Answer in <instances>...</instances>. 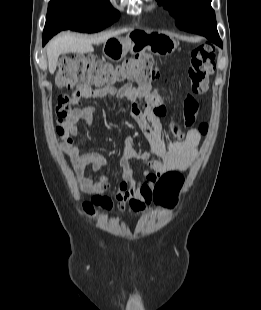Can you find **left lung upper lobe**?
Segmentation results:
<instances>
[{"label": "left lung upper lobe", "instance_id": "left-lung-upper-lobe-1", "mask_svg": "<svg viewBox=\"0 0 261 310\" xmlns=\"http://www.w3.org/2000/svg\"><path fill=\"white\" fill-rule=\"evenodd\" d=\"M164 5L173 17L176 25L190 32L191 28L202 21L216 23L214 10L211 8V0H157Z\"/></svg>", "mask_w": 261, "mask_h": 310}]
</instances>
